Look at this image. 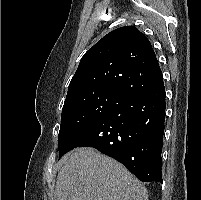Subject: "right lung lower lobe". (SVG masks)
I'll list each match as a JSON object with an SVG mask.
<instances>
[{
  "mask_svg": "<svg viewBox=\"0 0 201 200\" xmlns=\"http://www.w3.org/2000/svg\"><path fill=\"white\" fill-rule=\"evenodd\" d=\"M165 97L163 80L128 97L79 132L65 152L93 147L125 165L140 181L162 183Z\"/></svg>",
  "mask_w": 201,
  "mask_h": 200,
  "instance_id": "right-lung-lower-lobe-1",
  "label": "right lung lower lobe"
}]
</instances>
